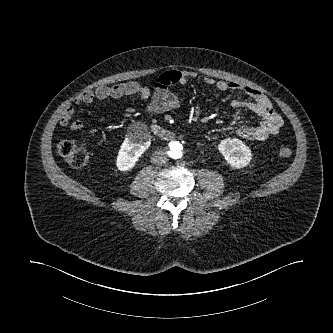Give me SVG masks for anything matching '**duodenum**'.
I'll return each instance as SVG.
<instances>
[{
	"instance_id": "1",
	"label": "duodenum",
	"mask_w": 333,
	"mask_h": 333,
	"mask_svg": "<svg viewBox=\"0 0 333 333\" xmlns=\"http://www.w3.org/2000/svg\"><path fill=\"white\" fill-rule=\"evenodd\" d=\"M152 131L155 135H157L159 138L170 141L175 138V134L166 128L160 126V125H153L152 126Z\"/></svg>"
}]
</instances>
